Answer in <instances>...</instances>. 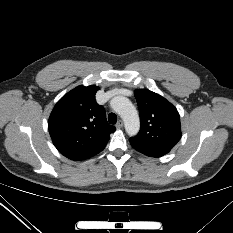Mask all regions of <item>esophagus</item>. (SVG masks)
Masks as SVG:
<instances>
[{
	"instance_id": "1",
	"label": "esophagus",
	"mask_w": 233,
	"mask_h": 233,
	"mask_svg": "<svg viewBox=\"0 0 233 233\" xmlns=\"http://www.w3.org/2000/svg\"><path fill=\"white\" fill-rule=\"evenodd\" d=\"M123 127V121L122 120H119L116 124V128L117 129H121Z\"/></svg>"
}]
</instances>
